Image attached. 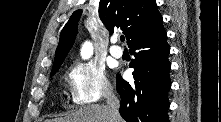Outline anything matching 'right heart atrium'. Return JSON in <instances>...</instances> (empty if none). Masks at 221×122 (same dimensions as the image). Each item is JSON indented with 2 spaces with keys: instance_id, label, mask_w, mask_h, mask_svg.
Masks as SVG:
<instances>
[{
  "instance_id": "1",
  "label": "right heart atrium",
  "mask_w": 221,
  "mask_h": 122,
  "mask_svg": "<svg viewBox=\"0 0 221 122\" xmlns=\"http://www.w3.org/2000/svg\"><path fill=\"white\" fill-rule=\"evenodd\" d=\"M72 101L77 105L95 103L112 93L105 69L94 62L75 63L69 71Z\"/></svg>"
}]
</instances>
